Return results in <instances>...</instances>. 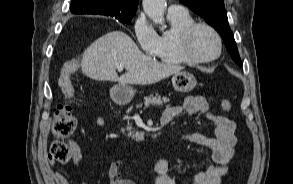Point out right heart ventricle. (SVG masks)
I'll return each instance as SVG.
<instances>
[{"label":"right heart ventricle","mask_w":293,"mask_h":184,"mask_svg":"<svg viewBox=\"0 0 293 184\" xmlns=\"http://www.w3.org/2000/svg\"><path fill=\"white\" fill-rule=\"evenodd\" d=\"M170 29L158 36V44L153 56L167 64H185V60L178 49L180 33L195 21L189 13L168 14Z\"/></svg>","instance_id":"obj_1"}]
</instances>
